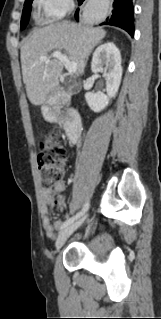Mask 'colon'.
Listing matches in <instances>:
<instances>
[{"instance_id":"obj_1","label":"colon","mask_w":161,"mask_h":319,"mask_svg":"<svg viewBox=\"0 0 161 319\" xmlns=\"http://www.w3.org/2000/svg\"><path fill=\"white\" fill-rule=\"evenodd\" d=\"M43 151L38 155V165L41 171V184L50 187L59 182L69 165L68 151L63 145L60 137L49 132L43 136L41 143ZM48 149V151H44ZM58 210L63 209V202L58 199L55 201Z\"/></svg>"}]
</instances>
